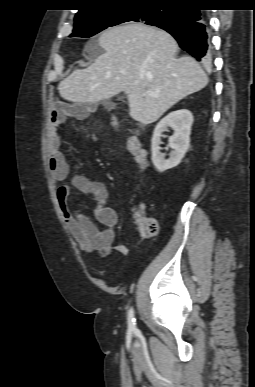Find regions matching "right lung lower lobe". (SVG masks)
Instances as JSON below:
<instances>
[{
	"label": "right lung lower lobe",
	"instance_id": "1",
	"mask_svg": "<svg viewBox=\"0 0 255 387\" xmlns=\"http://www.w3.org/2000/svg\"><path fill=\"white\" fill-rule=\"evenodd\" d=\"M197 7V6H195ZM176 20L159 28L170 33L181 49L203 64L211 62L209 25L204 11L185 5L176 8Z\"/></svg>",
	"mask_w": 255,
	"mask_h": 387
}]
</instances>
